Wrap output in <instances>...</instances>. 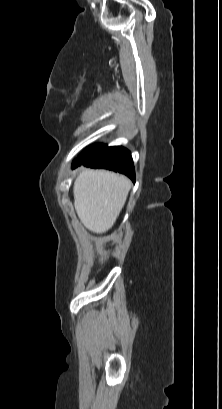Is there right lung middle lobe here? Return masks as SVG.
<instances>
[{"label": "right lung middle lobe", "instance_id": "obj_1", "mask_svg": "<svg viewBox=\"0 0 222 409\" xmlns=\"http://www.w3.org/2000/svg\"><path fill=\"white\" fill-rule=\"evenodd\" d=\"M104 146L102 144H96L93 146H89L88 148H86L78 157L77 160H75L74 162H82L85 161L89 158H91L92 156H94L95 154H97Z\"/></svg>", "mask_w": 222, "mask_h": 409}]
</instances>
